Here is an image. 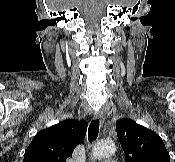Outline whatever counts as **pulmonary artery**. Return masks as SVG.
<instances>
[{"label": "pulmonary artery", "mask_w": 175, "mask_h": 162, "mask_svg": "<svg viewBox=\"0 0 175 162\" xmlns=\"http://www.w3.org/2000/svg\"><path fill=\"white\" fill-rule=\"evenodd\" d=\"M104 162H116L114 159H106Z\"/></svg>", "instance_id": "obj_1"}]
</instances>
